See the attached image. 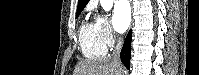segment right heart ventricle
<instances>
[{"label":"right heart ventricle","instance_id":"e07e8e85","mask_svg":"<svg viewBox=\"0 0 199 75\" xmlns=\"http://www.w3.org/2000/svg\"><path fill=\"white\" fill-rule=\"evenodd\" d=\"M81 51L87 58H100L106 55L107 47L102 42L95 22H84L80 28Z\"/></svg>","mask_w":199,"mask_h":75}]
</instances>
